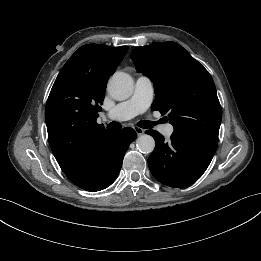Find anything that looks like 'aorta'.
Masks as SVG:
<instances>
[{
	"label": "aorta",
	"instance_id": "1",
	"mask_svg": "<svg viewBox=\"0 0 261 261\" xmlns=\"http://www.w3.org/2000/svg\"><path fill=\"white\" fill-rule=\"evenodd\" d=\"M133 88V79L124 72L114 73L107 84L109 95L118 101L128 99L133 93ZM136 147L142 153H151L155 148V140L150 135H141L136 140Z\"/></svg>",
	"mask_w": 261,
	"mask_h": 261
}]
</instances>
